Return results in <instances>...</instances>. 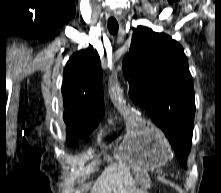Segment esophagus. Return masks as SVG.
Returning <instances> with one entry per match:
<instances>
[{
    "label": "esophagus",
    "instance_id": "obj_1",
    "mask_svg": "<svg viewBox=\"0 0 221 193\" xmlns=\"http://www.w3.org/2000/svg\"><path fill=\"white\" fill-rule=\"evenodd\" d=\"M115 17H116L118 20L122 21V16H120V15H115Z\"/></svg>",
    "mask_w": 221,
    "mask_h": 193
}]
</instances>
